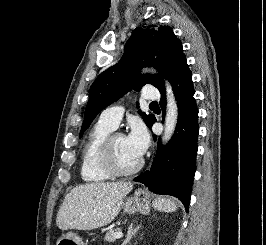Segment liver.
Segmentation results:
<instances>
[{"label":"liver","mask_w":266,"mask_h":245,"mask_svg":"<svg viewBox=\"0 0 266 245\" xmlns=\"http://www.w3.org/2000/svg\"><path fill=\"white\" fill-rule=\"evenodd\" d=\"M132 183H86L74 187L60 207L56 225L61 231H91L117 217Z\"/></svg>","instance_id":"1"}]
</instances>
